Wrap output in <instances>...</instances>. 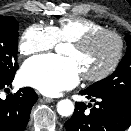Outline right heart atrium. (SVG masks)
Listing matches in <instances>:
<instances>
[{"instance_id":"1","label":"right heart atrium","mask_w":131,"mask_h":131,"mask_svg":"<svg viewBox=\"0 0 131 131\" xmlns=\"http://www.w3.org/2000/svg\"><path fill=\"white\" fill-rule=\"evenodd\" d=\"M58 43L52 26L34 23L28 26L19 42V53L23 56L51 50Z\"/></svg>"}]
</instances>
